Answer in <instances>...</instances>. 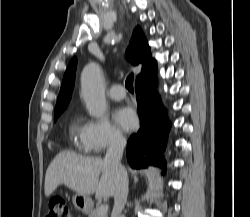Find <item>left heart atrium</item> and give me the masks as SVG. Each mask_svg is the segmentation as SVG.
Instances as JSON below:
<instances>
[{"label": "left heart atrium", "mask_w": 250, "mask_h": 217, "mask_svg": "<svg viewBox=\"0 0 250 217\" xmlns=\"http://www.w3.org/2000/svg\"><path fill=\"white\" fill-rule=\"evenodd\" d=\"M115 122L125 130H132L137 124L134 111L127 106H122L114 112Z\"/></svg>", "instance_id": "left-heart-atrium-1"}]
</instances>
